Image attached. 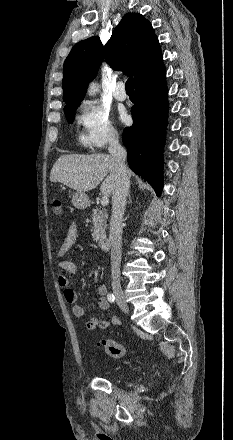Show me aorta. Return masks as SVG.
Masks as SVG:
<instances>
[{
	"label": "aorta",
	"instance_id": "aorta-1",
	"mask_svg": "<svg viewBox=\"0 0 233 440\" xmlns=\"http://www.w3.org/2000/svg\"><path fill=\"white\" fill-rule=\"evenodd\" d=\"M98 91V86L96 83H91L89 90H88V94L89 95H95V93Z\"/></svg>",
	"mask_w": 233,
	"mask_h": 440
}]
</instances>
